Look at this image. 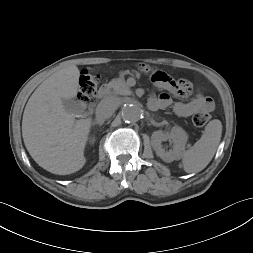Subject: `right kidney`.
<instances>
[{"mask_svg":"<svg viewBox=\"0 0 253 253\" xmlns=\"http://www.w3.org/2000/svg\"><path fill=\"white\" fill-rule=\"evenodd\" d=\"M91 142L93 143V142H94V139H92Z\"/></svg>","mask_w":253,"mask_h":253,"instance_id":"ca27d5eb","label":"right kidney"}]
</instances>
